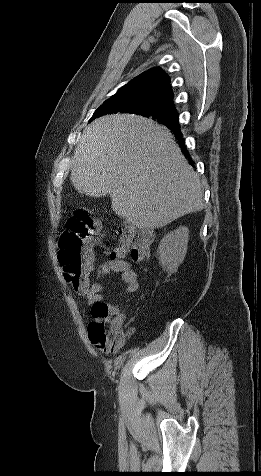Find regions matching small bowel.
<instances>
[{
    "label": "small bowel",
    "mask_w": 261,
    "mask_h": 476,
    "mask_svg": "<svg viewBox=\"0 0 261 476\" xmlns=\"http://www.w3.org/2000/svg\"><path fill=\"white\" fill-rule=\"evenodd\" d=\"M110 273H117L120 275L121 281L124 284V292L127 294L133 293L138 289V276L132 268L131 264L120 258H110L101 262L97 267L96 280L87 285L84 289L79 290L86 298L87 303L93 308L96 304L103 302V279ZM113 319L111 326L115 329L122 330L125 314L114 309H110Z\"/></svg>",
    "instance_id": "small-bowel-1"
}]
</instances>
